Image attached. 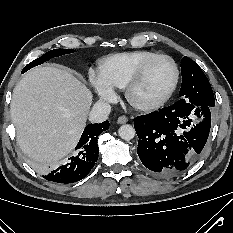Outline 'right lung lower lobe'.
<instances>
[{"instance_id": "right-lung-lower-lobe-1", "label": "right lung lower lobe", "mask_w": 233, "mask_h": 233, "mask_svg": "<svg viewBox=\"0 0 233 233\" xmlns=\"http://www.w3.org/2000/svg\"><path fill=\"white\" fill-rule=\"evenodd\" d=\"M109 126L108 121L86 126L75 148L74 155L68 159L66 164L43 176V178L64 184L83 179L91 171L98 159L97 138L100 133L109 129Z\"/></svg>"}]
</instances>
